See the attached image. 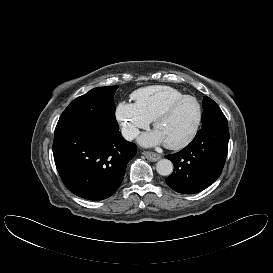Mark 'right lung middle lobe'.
<instances>
[{"label":"right lung middle lobe","mask_w":273,"mask_h":273,"mask_svg":"<svg viewBox=\"0 0 273 273\" xmlns=\"http://www.w3.org/2000/svg\"><path fill=\"white\" fill-rule=\"evenodd\" d=\"M118 86L98 87L73 100L59 118L55 132L78 127L115 131L114 93Z\"/></svg>","instance_id":"1"}]
</instances>
